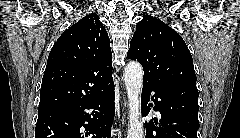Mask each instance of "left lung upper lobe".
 Masks as SVG:
<instances>
[{
	"label": "left lung upper lobe",
	"instance_id": "obj_1",
	"mask_svg": "<svg viewBox=\"0 0 240 138\" xmlns=\"http://www.w3.org/2000/svg\"><path fill=\"white\" fill-rule=\"evenodd\" d=\"M127 57L143 66V85L163 90L197 89L193 59L184 40L151 15H144L137 23Z\"/></svg>",
	"mask_w": 240,
	"mask_h": 138
}]
</instances>
